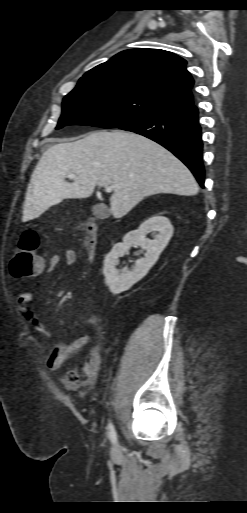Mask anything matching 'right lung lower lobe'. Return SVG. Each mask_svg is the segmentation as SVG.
Instances as JSON below:
<instances>
[{
  "mask_svg": "<svg viewBox=\"0 0 247 513\" xmlns=\"http://www.w3.org/2000/svg\"><path fill=\"white\" fill-rule=\"evenodd\" d=\"M120 129L141 134L178 157L204 187L201 127L194 104L167 109L125 124Z\"/></svg>",
  "mask_w": 247,
  "mask_h": 513,
  "instance_id": "98d812e1",
  "label": "right lung lower lobe"
}]
</instances>
